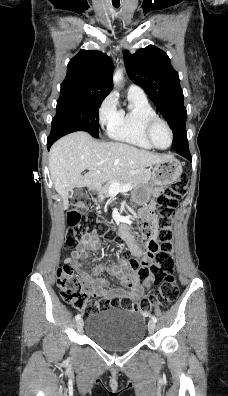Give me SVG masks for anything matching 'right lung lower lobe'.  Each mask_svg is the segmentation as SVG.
Instances as JSON below:
<instances>
[{"mask_svg": "<svg viewBox=\"0 0 228 396\" xmlns=\"http://www.w3.org/2000/svg\"><path fill=\"white\" fill-rule=\"evenodd\" d=\"M62 128H66V127H65V126H62V125H59V126H57V125H52L51 134H50V136L48 137V140H47V147H48V149L50 148V146H51L57 139H59L60 137L64 136V135H63L64 133H68V132L71 131V130H65V132H59V133L56 132V131H58V130H61Z\"/></svg>", "mask_w": 228, "mask_h": 396, "instance_id": "obj_1", "label": "right lung lower lobe"}]
</instances>
